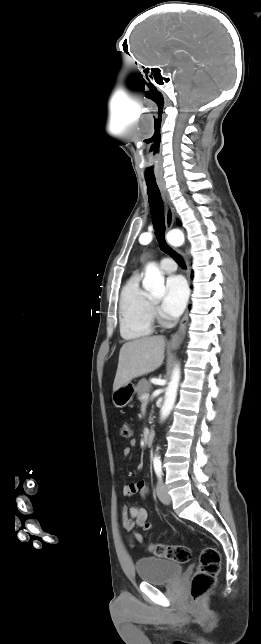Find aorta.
<instances>
[{
	"label": "aorta",
	"instance_id": "obj_1",
	"mask_svg": "<svg viewBox=\"0 0 261 644\" xmlns=\"http://www.w3.org/2000/svg\"><path fill=\"white\" fill-rule=\"evenodd\" d=\"M183 235L176 232L168 237L170 243L182 241ZM143 288L154 296H163L165 293L164 276L156 264L150 263L146 266ZM180 381V368L176 366L173 369L170 383L166 389L163 405L160 410L161 419H166L176 400L178 384Z\"/></svg>",
	"mask_w": 261,
	"mask_h": 644
}]
</instances>
